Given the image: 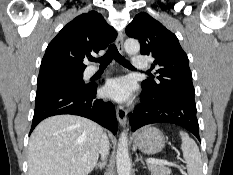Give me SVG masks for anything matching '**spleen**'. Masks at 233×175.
<instances>
[{
    "label": "spleen",
    "instance_id": "spleen-1",
    "mask_svg": "<svg viewBox=\"0 0 233 175\" xmlns=\"http://www.w3.org/2000/svg\"><path fill=\"white\" fill-rule=\"evenodd\" d=\"M180 136L182 140L181 150L188 175H202V160L196 142L183 131H180Z\"/></svg>",
    "mask_w": 233,
    "mask_h": 175
}]
</instances>
